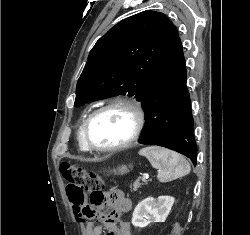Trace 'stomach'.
Listing matches in <instances>:
<instances>
[{"label": "stomach", "instance_id": "obj_1", "mask_svg": "<svg viewBox=\"0 0 250 235\" xmlns=\"http://www.w3.org/2000/svg\"><path fill=\"white\" fill-rule=\"evenodd\" d=\"M128 171H129L128 167L123 165V166H120L118 169L113 170V173L118 174V175H123L127 173Z\"/></svg>", "mask_w": 250, "mask_h": 235}]
</instances>
